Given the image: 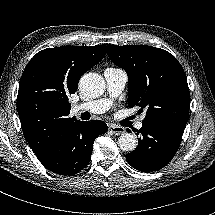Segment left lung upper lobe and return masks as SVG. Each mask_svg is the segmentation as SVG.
Wrapping results in <instances>:
<instances>
[{"label": "left lung upper lobe", "instance_id": "left-lung-upper-lobe-1", "mask_svg": "<svg viewBox=\"0 0 215 215\" xmlns=\"http://www.w3.org/2000/svg\"><path fill=\"white\" fill-rule=\"evenodd\" d=\"M107 50L109 58L128 74V106L146 110L143 123L188 122L190 91L174 56L146 45L108 44Z\"/></svg>", "mask_w": 215, "mask_h": 215}]
</instances>
